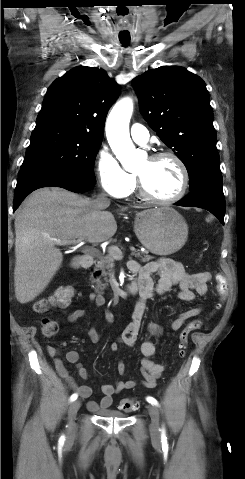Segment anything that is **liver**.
<instances>
[{
  "label": "liver",
  "mask_w": 245,
  "mask_h": 479,
  "mask_svg": "<svg viewBox=\"0 0 245 479\" xmlns=\"http://www.w3.org/2000/svg\"><path fill=\"white\" fill-rule=\"evenodd\" d=\"M108 204L83 198L60 188L34 191L15 216V295L21 304L34 300L48 286L63 261L56 246L85 239L91 243L111 238L117 230Z\"/></svg>",
  "instance_id": "liver-1"
}]
</instances>
